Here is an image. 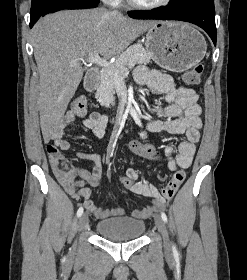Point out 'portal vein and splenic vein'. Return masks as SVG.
<instances>
[{
	"label": "portal vein and splenic vein",
	"mask_w": 247,
	"mask_h": 280,
	"mask_svg": "<svg viewBox=\"0 0 247 280\" xmlns=\"http://www.w3.org/2000/svg\"><path fill=\"white\" fill-rule=\"evenodd\" d=\"M93 63V64H97L101 67H104V68H113L114 67V64L110 63L109 61H107L106 59H103L101 58L98 53H90L89 56L84 60L82 59V63ZM72 66H76L77 65V62L74 61L71 63Z\"/></svg>",
	"instance_id": "1"
}]
</instances>
